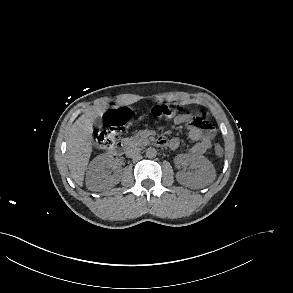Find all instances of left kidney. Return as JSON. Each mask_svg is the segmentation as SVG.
<instances>
[{"instance_id": "left-kidney-1", "label": "left kidney", "mask_w": 293, "mask_h": 293, "mask_svg": "<svg viewBox=\"0 0 293 293\" xmlns=\"http://www.w3.org/2000/svg\"><path fill=\"white\" fill-rule=\"evenodd\" d=\"M185 165H191L195 171L187 173L184 171L176 174L177 181L182 185L192 184L197 188H202L212 183L215 179V169L213 164L202 155L182 154L180 155Z\"/></svg>"}]
</instances>
